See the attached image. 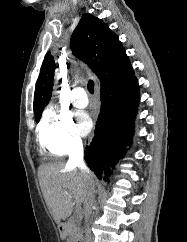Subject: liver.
Here are the masks:
<instances>
[{
	"label": "liver",
	"instance_id": "liver-1",
	"mask_svg": "<svg viewBox=\"0 0 187 242\" xmlns=\"http://www.w3.org/2000/svg\"><path fill=\"white\" fill-rule=\"evenodd\" d=\"M38 177L46 205L58 225L71 215L75 204L85 202L88 189L95 185L93 174H84L61 161L42 164Z\"/></svg>",
	"mask_w": 187,
	"mask_h": 242
}]
</instances>
